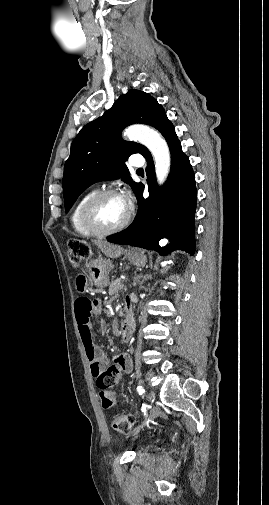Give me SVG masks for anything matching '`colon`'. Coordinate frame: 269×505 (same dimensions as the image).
<instances>
[{"mask_svg":"<svg viewBox=\"0 0 269 505\" xmlns=\"http://www.w3.org/2000/svg\"><path fill=\"white\" fill-rule=\"evenodd\" d=\"M90 256V248L85 244L74 241L69 244L68 258L73 267H79ZM86 282V280H85ZM119 373L113 367L101 371L96 376V383L100 389V397L103 407L109 409L114 403L113 389L119 381ZM134 423L132 415H117L112 419L113 429L119 433H129Z\"/></svg>","mask_w":269,"mask_h":505,"instance_id":"colon-1","label":"colon"}]
</instances>
